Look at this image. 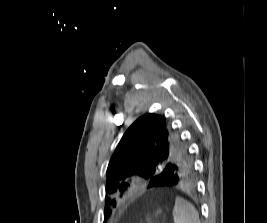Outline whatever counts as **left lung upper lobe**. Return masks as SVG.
I'll return each mask as SVG.
<instances>
[{
	"mask_svg": "<svg viewBox=\"0 0 267 223\" xmlns=\"http://www.w3.org/2000/svg\"><path fill=\"white\" fill-rule=\"evenodd\" d=\"M170 170L193 171L188 149L164 116L146 114L121 138L108 165L106 193L126 191L135 177L150 182L153 173ZM115 207V199L106 197L105 220Z\"/></svg>",
	"mask_w": 267,
	"mask_h": 223,
	"instance_id": "left-lung-upper-lobe-1",
	"label": "left lung upper lobe"
}]
</instances>
